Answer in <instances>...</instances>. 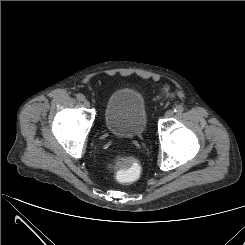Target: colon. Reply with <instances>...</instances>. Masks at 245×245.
<instances>
[{"mask_svg":"<svg viewBox=\"0 0 245 245\" xmlns=\"http://www.w3.org/2000/svg\"><path fill=\"white\" fill-rule=\"evenodd\" d=\"M119 168L116 171V179L122 184L133 183L137 178L138 164L135 159L122 157L116 160Z\"/></svg>","mask_w":245,"mask_h":245,"instance_id":"1","label":"colon"}]
</instances>
